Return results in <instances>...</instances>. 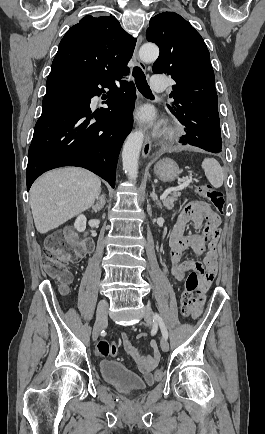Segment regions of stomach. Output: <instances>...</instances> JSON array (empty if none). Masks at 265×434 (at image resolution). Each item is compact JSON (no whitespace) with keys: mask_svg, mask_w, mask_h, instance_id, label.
I'll return each instance as SVG.
<instances>
[{"mask_svg":"<svg viewBox=\"0 0 265 434\" xmlns=\"http://www.w3.org/2000/svg\"><path fill=\"white\" fill-rule=\"evenodd\" d=\"M154 174L162 182H173L179 176L178 164L171 158H163L154 166Z\"/></svg>","mask_w":265,"mask_h":434,"instance_id":"0dacf381","label":"stomach"}]
</instances>
